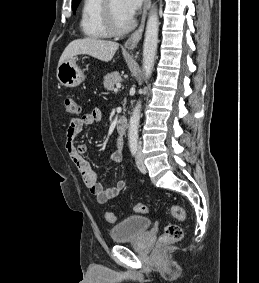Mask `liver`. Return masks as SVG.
<instances>
[{
	"label": "liver",
	"mask_w": 259,
	"mask_h": 283,
	"mask_svg": "<svg viewBox=\"0 0 259 283\" xmlns=\"http://www.w3.org/2000/svg\"><path fill=\"white\" fill-rule=\"evenodd\" d=\"M118 47V43L93 37L76 39L65 48L59 59V64L80 54H87L101 61L108 62L111 61Z\"/></svg>",
	"instance_id": "1"
}]
</instances>
